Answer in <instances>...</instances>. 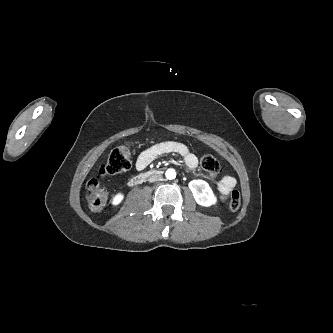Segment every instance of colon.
Instances as JSON below:
<instances>
[{
    "instance_id": "colon-1",
    "label": "colon",
    "mask_w": 333,
    "mask_h": 333,
    "mask_svg": "<svg viewBox=\"0 0 333 333\" xmlns=\"http://www.w3.org/2000/svg\"><path fill=\"white\" fill-rule=\"evenodd\" d=\"M201 167L212 174L220 171L218 161L211 155H205L201 159ZM132 165V154L128 145H122L114 149L109 155L107 161L100 166L99 174H116L128 170ZM86 198L88 205L93 211L102 210L108 201L107 192L100 188L97 180L92 179L86 187ZM241 205V196L237 190L232 191L229 198V207L231 210H237Z\"/></svg>"
}]
</instances>
